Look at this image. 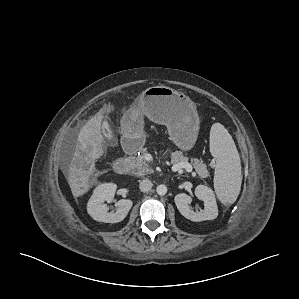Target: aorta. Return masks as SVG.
Here are the masks:
<instances>
[{
    "instance_id": "obj_1",
    "label": "aorta",
    "mask_w": 299,
    "mask_h": 299,
    "mask_svg": "<svg viewBox=\"0 0 299 299\" xmlns=\"http://www.w3.org/2000/svg\"><path fill=\"white\" fill-rule=\"evenodd\" d=\"M156 192L160 196H164L167 193V187L165 185H158L156 188Z\"/></svg>"
}]
</instances>
